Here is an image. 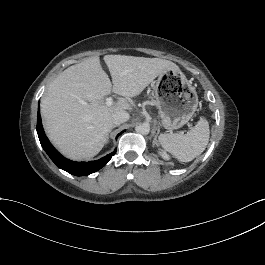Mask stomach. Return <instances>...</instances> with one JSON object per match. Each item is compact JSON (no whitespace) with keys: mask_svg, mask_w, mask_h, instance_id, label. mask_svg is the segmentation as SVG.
I'll use <instances>...</instances> for the list:
<instances>
[{"mask_svg":"<svg viewBox=\"0 0 265 265\" xmlns=\"http://www.w3.org/2000/svg\"><path fill=\"white\" fill-rule=\"evenodd\" d=\"M154 99L162 125L168 130L185 125L198 106L194 87L180 70L174 69L159 75L155 82Z\"/></svg>","mask_w":265,"mask_h":265,"instance_id":"stomach-1","label":"stomach"}]
</instances>
